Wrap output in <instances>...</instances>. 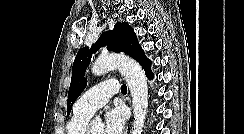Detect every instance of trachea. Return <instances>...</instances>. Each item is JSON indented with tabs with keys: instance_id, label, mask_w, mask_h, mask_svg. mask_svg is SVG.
<instances>
[{
	"instance_id": "3493384b",
	"label": "trachea",
	"mask_w": 244,
	"mask_h": 134,
	"mask_svg": "<svg viewBox=\"0 0 244 134\" xmlns=\"http://www.w3.org/2000/svg\"><path fill=\"white\" fill-rule=\"evenodd\" d=\"M121 92H122L123 94H126V93H127V86H126L125 84H123V85L121 86Z\"/></svg>"
}]
</instances>
